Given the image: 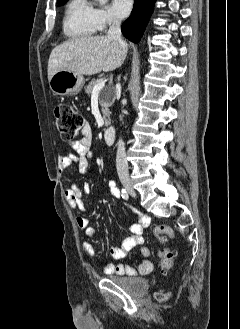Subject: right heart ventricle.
Instances as JSON below:
<instances>
[{
	"instance_id": "obj_1",
	"label": "right heart ventricle",
	"mask_w": 240,
	"mask_h": 329,
	"mask_svg": "<svg viewBox=\"0 0 240 329\" xmlns=\"http://www.w3.org/2000/svg\"><path fill=\"white\" fill-rule=\"evenodd\" d=\"M94 8L88 0H70L63 17V32L68 38L80 39L92 36L97 27Z\"/></svg>"
}]
</instances>
